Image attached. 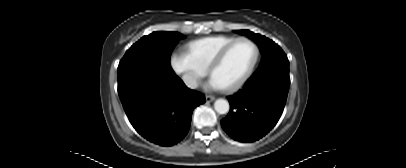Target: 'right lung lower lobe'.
Returning <instances> with one entry per match:
<instances>
[{"label":"right lung lower lobe","mask_w":406,"mask_h":168,"mask_svg":"<svg viewBox=\"0 0 406 168\" xmlns=\"http://www.w3.org/2000/svg\"><path fill=\"white\" fill-rule=\"evenodd\" d=\"M118 94L135 130L161 146L180 142L189 131L194 108L206 101L176 75L133 85Z\"/></svg>","instance_id":"right-lung-lower-lobe-1"}]
</instances>
